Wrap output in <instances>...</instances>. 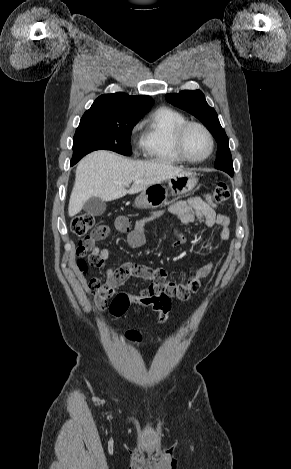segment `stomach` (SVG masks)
<instances>
[{"label":"stomach","instance_id":"0dacf381","mask_svg":"<svg viewBox=\"0 0 291 469\" xmlns=\"http://www.w3.org/2000/svg\"><path fill=\"white\" fill-rule=\"evenodd\" d=\"M194 172L183 171L169 179L168 186L162 182L155 183L144 189L135 199V206L141 209H154L162 206L169 196H180L190 192L197 184Z\"/></svg>","mask_w":291,"mask_h":469}]
</instances>
